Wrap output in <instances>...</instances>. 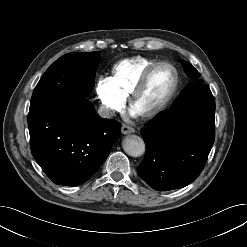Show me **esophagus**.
<instances>
[{"instance_id": "obj_1", "label": "esophagus", "mask_w": 247, "mask_h": 247, "mask_svg": "<svg viewBox=\"0 0 247 247\" xmlns=\"http://www.w3.org/2000/svg\"><path fill=\"white\" fill-rule=\"evenodd\" d=\"M121 132H122V134H129V133H134L135 130H134V128H132L130 126L123 124L121 127Z\"/></svg>"}]
</instances>
